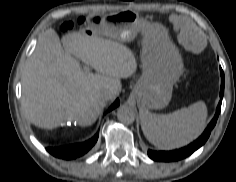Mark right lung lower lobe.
Returning <instances> with one entry per match:
<instances>
[{
    "instance_id": "98d812e1",
    "label": "right lung lower lobe",
    "mask_w": 236,
    "mask_h": 182,
    "mask_svg": "<svg viewBox=\"0 0 236 182\" xmlns=\"http://www.w3.org/2000/svg\"><path fill=\"white\" fill-rule=\"evenodd\" d=\"M119 104L120 102L117 99L114 102V104L109 108V111L117 107ZM97 139L98 135L96 134L93 138L83 143L67 145L62 147H55V148L49 147L47 148V150L55 157L62 159H74L88 152L92 148V146L96 143Z\"/></svg>"
}]
</instances>
